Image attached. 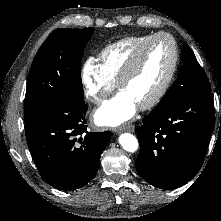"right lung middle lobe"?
Masks as SVG:
<instances>
[{
    "mask_svg": "<svg viewBox=\"0 0 221 221\" xmlns=\"http://www.w3.org/2000/svg\"><path fill=\"white\" fill-rule=\"evenodd\" d=\"M94 28L54 30L38 50L28 76L24 123L63 99L84 100L81 59Z\"/></svg>",
    "mask_w": 221,
    "mask_h": 221,
    "instance_id": "1",
    "label": "right lung middle lobe"
}]
</instances>
